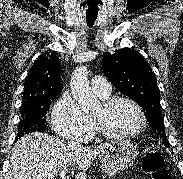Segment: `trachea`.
<instances>
[{
	"mask_svg": "<svg viewBox=\"0 0 183 179\" xmlns=\"http://www.w3.org/2000/svg\"><path fill=\"white\" fill-rule=\"evenodd\" d=\"M96 18H97V12H87V14H86V20H87V26L89 27V28H91V27H93V25H94V23H95V20H96Z\"/></svg>",
	"mask_w": 183,
	"mask_h": 179,
	"instance_id": "3493384b",
	"label": "trachea"
}]
</instances>
